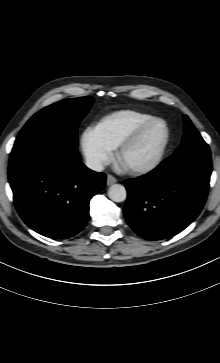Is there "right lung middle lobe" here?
Instances as JSON below:
<instances>
[{"mask_svg": "<svg viewBox=\"0 0 220 363\" xmlns=\"http://www.w3.org/2000/svg\"><path fill=\"white\" fill-rule=\"evenodd\" d=\"M93 104L90 96L64 99L37 112L20 131L11 155L32 144L61 139L74 148L78 146L77 127Z\"/></svg>", "mask_w": 220, "mask_h": 363, "instance_id": "dd1d6c3e", "label": "right lung middle lobe"}]
</instances>
